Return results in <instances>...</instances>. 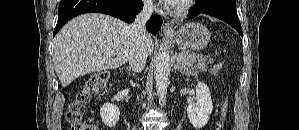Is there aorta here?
<instances>
[{
  "label": "aorta",
  "instance_id": "aorta-1",
  "mask_svg": "<svg viewBox=\"0 0 299 130\" xmlns=\"http://www.w3.org/2000/svg\"><path fill=\"white\" fill-rule=\"evenodd\" d=\"M170 72V57L166 51V48H161L157 53L154 63V75L156 81L157 93L160 100L165 103L167 94V86L169 81Z\"/></svg>",
  "mask_w": 299,
  "mask_h": 130
}]
</instances>
